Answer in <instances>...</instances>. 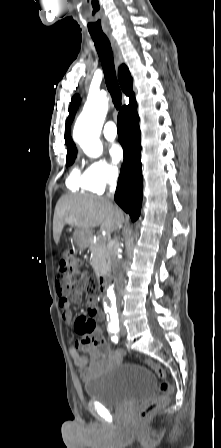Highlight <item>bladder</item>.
Wrapping results in <instances>:
<instances>
[{
  "mask_svg": "<svg viewBox=\"0 0 221 448\" xmlns=\"http://www.w3.org/2000/svg\"><path fill=\"white\" fill-rule=\"evenodd\" d=\"M84 389L89 399L120 407L154 397L155 379L145 368L120 362L86 380Z\"/></svg>",
  "mask_w": 221,
  "mask_h": 448,
  "instance_id": "obj_1",
  "label": "bladder"
}]
</instances>
